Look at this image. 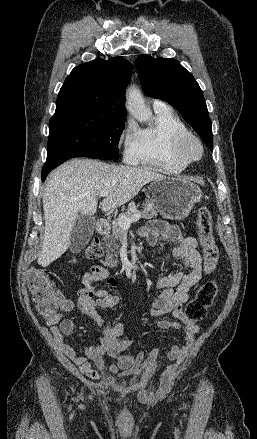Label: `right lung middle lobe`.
<instances>
[{"label": "right lung middle lobe", "instance_id": "dd1d6c3e", "mask_svg": "<svg viewBox=\"0 0 257 439\" xmlns=\"http://www.w3.org/2000/svg\"><path fill=\"white\" fill-rule=\"evenodd\" d=\"M125 114L77 111L54 116L49 123L47 162L64 158L114 159Z\"/></svg>", "mask_w": 257, "mask_h": 439}]
</instances>
